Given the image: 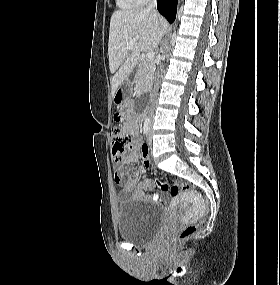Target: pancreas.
I'll use <instances>...</instances> for the list:
<instances>
[{"instance_id": "cf45deb5", "label": "pancreas", "mask_w": 280, "mask_h": 285, "mask_svg": "<svg viewBox=\"0 0 280 285\" xmlns=\"http://www.w3.org/2000/svg\"><path fill=\"white\" fill-rule=\"evenodd\" d=\"M155 64L153 62L139 61L135 75L136 90L145 93L150 90L154 78Z\"/></svg>"}]
</instances>
